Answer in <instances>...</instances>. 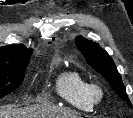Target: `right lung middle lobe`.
<instances>
[{
	"instance_id": "right-lung-middle-lobe-1",
	"label": "right lung middle lobe",
	"mask_w": 133,
	"mask_h": 118,
	"mask_svg": "<svg viewBox=\"0 0 133 118\" xmlns=\"http://www.w3.org/2000/svg\"><path fill=\"white\" fill-rule=\"evenodd\" d=\"M27 66L22 64L13 68H0V99L22 84Z\"/></svg>"
}]
</instances>
